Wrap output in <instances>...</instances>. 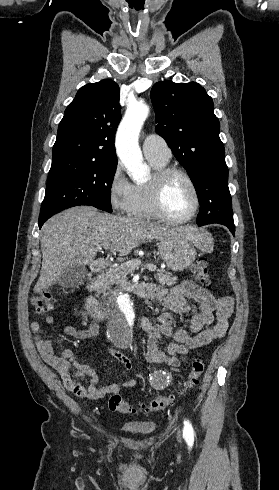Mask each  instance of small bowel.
<instances>
[{
    "mask_svg": "<svg viewBox=\"0 0 279 490\" xmlns=\"http://www.w3.org/2000/svg\"><path fill=\"white\" fill-rule=\"evenodd\" d=\"M140 290L167 309L157 315L155 322L147 317L140 319V326L147 336L146 360L149 363L178 366L190 350L200 349L211 341L224 337L228 330V319L233 312V301L230 297L216 298L193 281H184L171 288L146 284ZM175 314L190 316L189 330L175 327ZM215 317L216 322L213 323ZM54 321L51 315H46L43 319L47 325H52ZM30 328L42 359L58 372L65 388L75 396L95 401L137 384V380L127 379L97 388V373L90 366L79 363L72 350L65 349L60 355L54 354L52 340L42 335V322L33 321ZM64 332L78 340H92L98 336L99 326L97 323H91L84 328L66 326ZM164 336L173 337L166 353L158 346V340ZM112 355L125 371L132 369L131 361L125 355L118 352H112ZM71 365L76 368L73 373L70 372ZM85 378L89 379L87 387L77 381Z\"/></svg>",
    "mask_w": 279,
    "mask_h": 490,
    "instance_id": "1",
    "label": "small bowel"
}]
</instances>
